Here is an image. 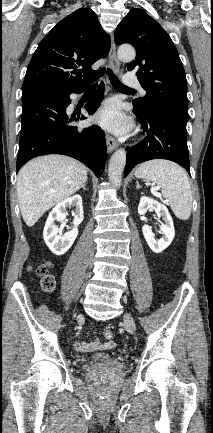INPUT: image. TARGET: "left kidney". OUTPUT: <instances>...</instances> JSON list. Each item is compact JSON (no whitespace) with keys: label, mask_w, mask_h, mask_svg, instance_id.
<instances>
[{"label":"left kidney","mask_w":213,"mask_h":433,"mask_svg":"<svg viewBox=\"0 0 213 433\" xmlns=\"http://www.w3.org/2000/svg\"><path fill=\"white\" fill-rule=\"evenodd\" d=\"M148 209L155 210L157 216L159 218L162 217L165 221V224H162L160 226L163 237L159 240L155 239L154 234L148 225H144L142 227L144 238L150 249L155 253H161L171 244L175 236L173 220L171 215L169 214L167 207L164 204H161L154 199L144 196L140 199V203L138 206L139 215H145Z\"/></svg>","instance_id":"left-kidney-1"}]
</instances>
